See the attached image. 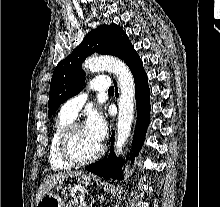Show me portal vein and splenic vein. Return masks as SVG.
<instances>
[{"mask_svg":"<svg viewBox=\"0 0 220 207\" xmlns=\"http://www.w3.org/2000/svg\"><path fill=\"white\" fill-rule=\"evenodd\" d=\"M79 200H80V201H84V198L81 196V197L79 198Z\"/></svg>","mask_w":220,"mask_h":207,"instance_id":"obj_1","label":"portal vein and splenic vein"}]
</instances>
